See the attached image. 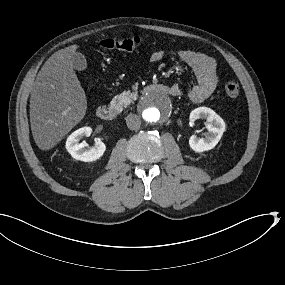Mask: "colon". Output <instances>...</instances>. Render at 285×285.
Here are the masks:
<instances>
[{
  "mask_svg": "<svg viewBox=\"0 0 285 285\" xmlns=\"http://www.w3.org/2000/svg\"><path fill=\"white\" fill-rule=\"evenodd\" d=\"M141 44L139 37L123 38V39H103L99 42V45L108 50L117 51H133L137 49ZM225 94L229 98H236L239 94V84L235 81H230L225 85Z\"/></svg>",
  "mask_w": 285,
  "mask_h": 285,
  "instance_id": "5ec220e1",
  "label": "colon"
}]
</instances>
